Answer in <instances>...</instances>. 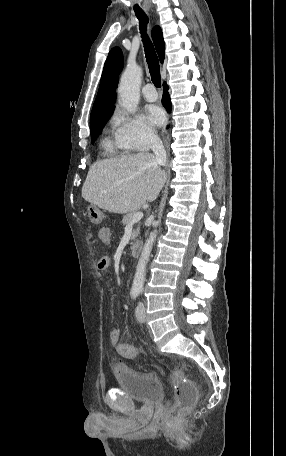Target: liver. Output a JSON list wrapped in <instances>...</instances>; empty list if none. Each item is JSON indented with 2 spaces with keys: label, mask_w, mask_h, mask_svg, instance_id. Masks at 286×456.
Listing matches in <instances>:
<instances>
[{
  "label": "liver",
  "mask_w": 286,
  "mask_h": 456,
  "mask_svg": "<svg viewBox=\"0 0 286 456\" xmlns=\"http://www.w3.org/2000/svg\"><path fill=\"white\" fill-rule=\"evenodd\" d=\"M166 173L148 152L97 161L90 168L82 197L111 213H130L157 199Z\"/></svg>",
  "instance_id": "liver-1"
}]
</instances>
